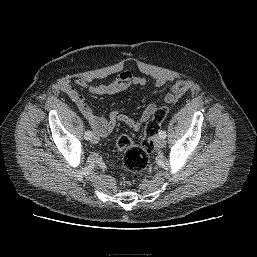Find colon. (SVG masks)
<instances>
[{"instance_id":"colon-1","label":"colon","mask_w":257,"mask_h":257,"mask_svg":"<svg viewBox=\"0 0 257 257\" xmlns=\"http://www.w3.org/2000/svg\"><path fill=\"white\" fill-rule=\"evenodd\" d=\"M168 110L159 107L155 110L152 118L146 123L144 138L141 146L134 143L129 135H121L117 140V148L123 152V165L136 179L138 175L147 167L149 156L154 150V138L167 116Z\"/></svg>"}]
</instances>
